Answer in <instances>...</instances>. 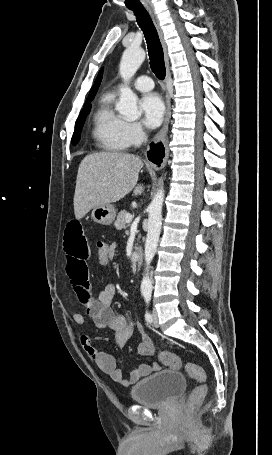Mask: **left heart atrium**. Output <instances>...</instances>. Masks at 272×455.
Returning <instances> with one entry per match:
<instances>
[{"label":"left heart atrium","mask_w":272,"mask_h":455,"mask_svg":"<svg viewBox=\"0 0 272 455\" xmlns=\"http://www.w3.org/2000/svg\"><path fill=\"white\" fill-rule=\"evenodd\" d=\"M139 104L143 114L144 124L150 128L159 126L165 112L161 97L156 93H148L141 98Z\"/></svg>","instance_id":"39dd6f15"}]
</instances>
